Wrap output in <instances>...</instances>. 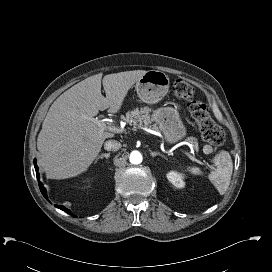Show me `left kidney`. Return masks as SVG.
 I'll use <instances>...</instances> for the list:
<instances>
[{
  "mask_svg": "<svg viewBox=\"0 0 272 272\" xmlns=\"http://www.w3.org/2000/svg\"><path fill=\"white\" fill-rule=\"evenodd\" d=\"M167 179L177 188L185 186L184 176L176 171H170L167 173Z\"/></svg>",
  "mask_w": 272,
  "mask_h": 272,
  "instance_id": "1",
  "label": "left kidney"
}]
</instances>
